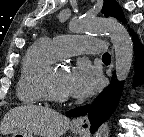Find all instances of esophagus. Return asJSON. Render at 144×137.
<instances>
[{
	"label": "esophagus",
	"instance_id": "34e87169",
	"mask_svg": "<svg viewBox=\"0 0 144 137\" xmlns=\"http://www.w3.org/2000/svg\"><path fill=\"white\" fill-rule=\"evenodd\" d=\"M73 127L82 131V132H89L90 130V121L88 119V116H81L76 118L73 121Z\"/></svg>",
	"mask_w": 144,
	"mask_h": 137
}]
</instances>
